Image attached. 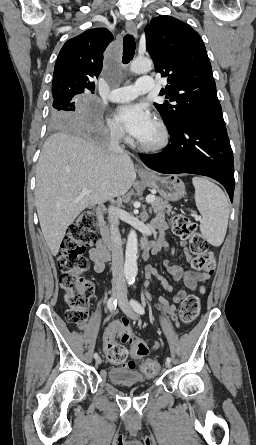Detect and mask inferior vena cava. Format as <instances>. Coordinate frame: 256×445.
Instances as JSON below:
<instances>
[{"label":"inferior vena cava","mask_w":256,"mask_h":445,"mask_svg":"<svg viewBox=\"0 0 256 445\" xmlns=\"http://www.w3.org/2000/svg\"><path fill=\"white\" fill-rule=\"evenodd\" d=\"M123 133V130L119 127L115 128L111 132V138L107 147V152H123L122 148L119 146V142ZM108 220L110 222V238L112 251V286L115 291L126 293L127 288L123 271L124 259L122 239L118 228V217L116 216L115 209L112 206L109 207L108 210Z\"/></svg>","instance_id":"obj_1"}]
</instances>
